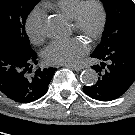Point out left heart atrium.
Listing matches in <instances>:
<instances>
[{"label": "left heart atrium", "instance_id": "1", "mask_svg": "<svg viewBox=\"0 0 135 135\" xmlns=\"http://www.w3.org/2000/svg\"><path fill=\"white\" fill-rule=\"evenodd\" d=\"M87 43L81 38L58 40L44 50V59L53 65H75L87 53Z\"/></svg>", "mask_w": 135, "mask_h": 135}]
</instances>
